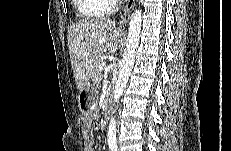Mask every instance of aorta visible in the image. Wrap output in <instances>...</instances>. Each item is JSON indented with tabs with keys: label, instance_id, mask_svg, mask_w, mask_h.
<instances>
[{
	"label": "aorta",
	"instance_id": "762f6f07",
	"mask_svg": "<svg viewBox=\"0 0 231 151\" xmlns=\"http://www.w3.org/2000/svg\"><path fill=\"white\" fill-rule=\"evenodd\" d=\"M141 26L142 11L141 9H136L131 16L126 49L124 50L122 60L119 63V75L113 92L114 102L119 101V98L128 83L130 73L135 62L137 48L139 46ZM108 144H116V121L114 117H111L108 127Z\"/></svg>",
	"mask_w": 231,
	"mask_h": 151
}]
</instances>
